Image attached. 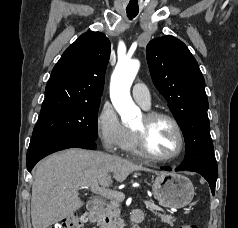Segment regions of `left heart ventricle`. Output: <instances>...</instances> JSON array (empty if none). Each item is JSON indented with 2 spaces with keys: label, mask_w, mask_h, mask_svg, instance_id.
Listing matches in <instances>:
<instances>
[{
  "label": "left heart ventricle",
  "mask_w": 238,
  "mask_h": 228,
  "mask_svg": "<svg viewBox=\"0 0 238 228\" xmlns=\"http://www.w3.org/2000/svg\"><path fill=\"white\" fill-rule=\"evenodd\" d=\"M135 130H144L149 150L156 156L168 157L178 148V139L173 126L164 119L148 124L142 116L134 126Z\"/></svg>",
  "instance_id": "1"
}]
</instances>
